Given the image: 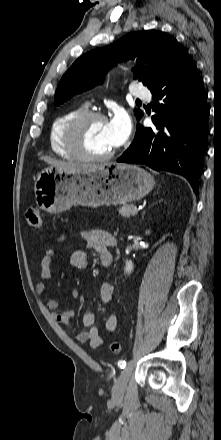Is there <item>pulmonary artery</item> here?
<instances>
[{
	"label": "pulmonary artery",
	"mask_w": 221,
	"mask_h": 440,
	"mask_svg": "<svg viewBox=\"0 0 221 440\" xmlns=\"http://www.w3.org/2000/svg\"><path fill=\"white\" fill-rule=\"evenodd\" d=\"M131 95L137 99H149L151 92L146 88L135 87L130 90Z\"/></svg>",
	"instance_id": "pulmonary-artery-1"
}]
</instances>
